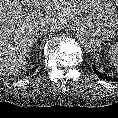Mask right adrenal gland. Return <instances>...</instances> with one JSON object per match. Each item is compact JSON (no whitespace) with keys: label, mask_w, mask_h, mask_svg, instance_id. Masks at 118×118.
Instances as JSON below:
<instances>
[{"label":"right adrenal gland","mask_w":118,"mask_h":118,"mask_svg":"<svg viewBox=\"0 0 118 118\" xmlns=\"http://www.w3.org/2000/svg\"><path fill=\"white\" fill-rule=\"evenodd\" d=\"M42 36V34L38 33L36 37L34 38V43L37 42V40Z\"/></svg>","instance_id":"right-adrenal-gland-1"}]
</instances>
